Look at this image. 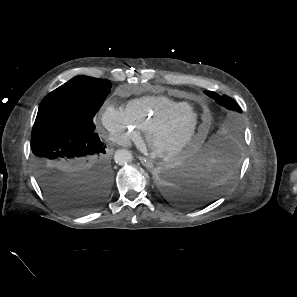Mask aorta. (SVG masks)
<instances>
[{"label": "aorta", "instance_id": "1", "mask_svg": "<svg viewBox=\"0 0 297 297\" xmlns=\"http://www.w3.org/2000/svg\"><path fill=\"white\" fill-rule=\"evenodd\" d=\"M133 156L131 152L127 149H119L115 152L114 160L119 165H124L131 162Z\"/></svg>", "mask_w": 297, "mask_h": 297}]
</instances>
